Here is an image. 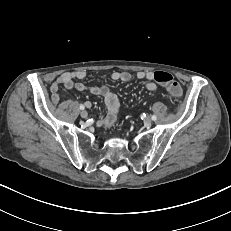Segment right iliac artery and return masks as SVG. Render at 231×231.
Returning a JSON list of instances; mask_svg holds the SVG:
<instances>
[{
  "label": "right iliac artery",
  "mask_w": 231,
  "mask_h": 231,
  "mask_svg": "<svg viewBox=\"0 0 231 231\" xmlns=\"http://www.w3.org/2000/svg\"><path fill=\"white\" fill-rule=\"evenodd\" d=\"M79 108H80L81 110H83L85 107H84V105H80Z\"/></svg>",
  "instance_id": "right-iliac-artery-1"
}]
</instances>
